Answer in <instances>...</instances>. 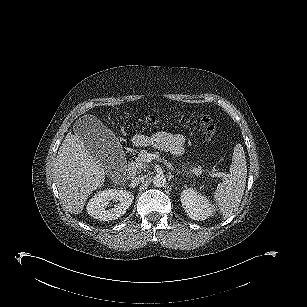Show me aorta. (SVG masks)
I'll list each match as a JSON object with an SVG mask.
<instances>
[{
  "mask_svg": "<svg viewBox=\"0 0 307 307\" xmlns=\"http://www.w3.org/2000/svg\"><path fill=\"white\" fill-rule=\"evenodd\" d=\"M166 183V178L164 175H156L153 178V184L155 187H163Z\"/></svg>",
  "mask_w": 307,
  "mask_h": 307,
  "instance_id": "aorta-1",
  "label": "aorta"
}]
</instances>
